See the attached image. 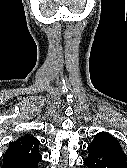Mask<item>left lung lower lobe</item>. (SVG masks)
Listing matches in <instances>:
<instances>
[{"label": "left lung lower lobe", "instance_id": "1", "mask_svg": "<svg viewBox=\"0 0 127 168\" xmlns=\"http://www.w3.org/2000/svg\"><path fill=\"white\" fill-rule=\"evenodd\" d=\"M87 150L89 154L84 164L90 168H127L124 154L108 139L94 138Z\"/></svg>", "mask_w": 127, "mask_h": 168}]
</instances>
